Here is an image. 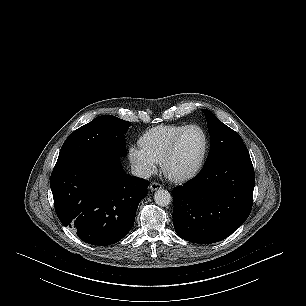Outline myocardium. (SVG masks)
<instances>
[{
	"label": "myocardium",
	"mask_w": 306,
	"mask_h": 306,
	"mask_svg": "<svg viewBox=\"0 0 306 306\" xmlns=\"http://www.w3.org/2000/svg\"><path fill=\"white\" fill-rule=\"evenodd\" d=\"M192 128H196V129L200 130L201 133L204 136V149H203L202 156H201L199 162L197 163V165L192 170H190L188 172H185V173H180V174L171 173L170 169H169V166L177 155L180 142H181L183 136L185 135V133ZM209 147H210L209 136H208L206 130L202 126H200L198 124L186 125L178 133V135L175 137L169 151L167 152V154L165 155V157L163 158V160L161 162L162 171H163L164 175L168 179H170L171 181H174V182H183V181H187V180H190V179L194 178L196 175L199 174V172L202 170V168L205 164V161H206V158H207L208 152H209Z\"/></svg>",
	"instance_id": "f54148a6"
}]
</instances>
